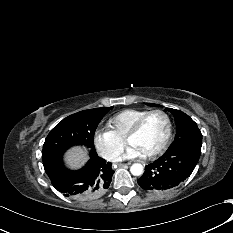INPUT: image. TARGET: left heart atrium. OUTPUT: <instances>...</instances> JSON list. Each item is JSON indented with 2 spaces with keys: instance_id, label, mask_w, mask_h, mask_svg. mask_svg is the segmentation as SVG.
Segmentation results:
<instances>
[{
  "instance_id": "obj_1",
  "label": "left heart atrium",
  "mask_w": 233,
  "mask_h": 233,
  "mask_svg": "<svg viewBox=\"0 0 233 233\" xmlns=\"http://www.w3.org/2000/svg\"><path fill=\"white\" fill-rule=\"evenodd\" d=\"M142 156L144 155L138 148H136L133 145H129L128 148L126 149L125 154L123 155V158L134 159V158H139Z\"/></svg>"
}]
</instances>
